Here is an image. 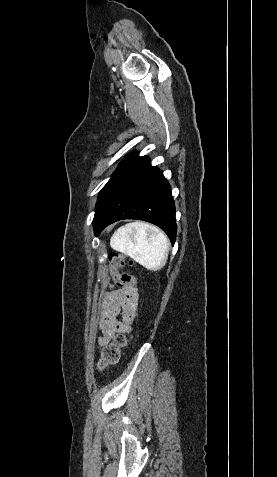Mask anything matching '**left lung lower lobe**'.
<instances>
[{
  "mask_svg": "<svg viewBox=\"0 0 277 477\" xmlns=\"http://www.w3.org/2000/svg\"><path fill=\"white\" fill-rule=\"evenodd\" d=\"M122 219L155 224L174 245L177 226L170 185L161 170L151 166L149 157H138V152L117 168L99 194L93 219L95 235Z\"/></svg>",
  "mask_w": 277,
  "mask_h": 477,
  "instance_id": "left-lung-lower-lobe-1",
  "label": "left lung lower lobe"
}]
</instances>
